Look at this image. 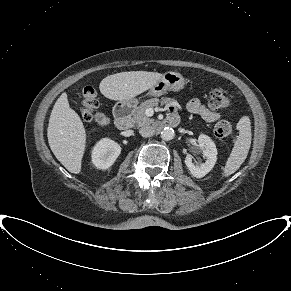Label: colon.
<instances>
[{"label": "colon", "instance_id": "colon-1", "mask_svg": "<svg viewBox=\"0 0 291 291\" xmlns=\"http://www.w3.org/2000/svg\"><path fill=\"white\" fill-rule=\"evenodd\" d=\"M230 100L225 92L221 89H215L211 92L209 105L213 109H224L228 107ZM98 106V99L95 90L92 87H86L83 90L80 115L85 121L93 118L94 111ZM233 131V126L228 120L219 121L214 127V133L219 138L228 137Z\"/></svg>", "mask_w": 291, "mask_h": 291}]
</instances>
